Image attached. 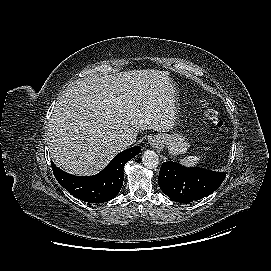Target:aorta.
<instances>
[{
	"mask_svg": "<svg viewBox=\"0 0 271 271\" xmlns=\"http://www.w3.org/2000/svg\"><path fill=\"white\" fill-rule=\"evenodd\" d=\"M142 162L145 167L154 169L159 164L158 155L152 150H146L142 155Z\"/></svg>",
	"mask_w": 271,
	"mask_h": 271,
	"instance_id": "aorta-1",
	"label": "aorta"
}]
</instances>
